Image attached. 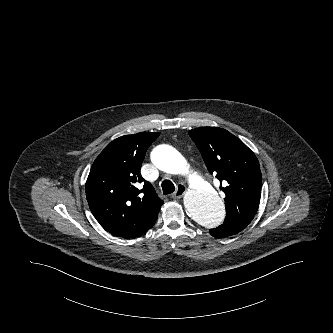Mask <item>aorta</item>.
I'll return each instance as SVG.
<instances>
[{
    "instance_id": "1",
    "label": "aorta",
    "mask_w": 333,
    "mask_h": 333,
    "mask_svg": "<svg viewBox=\"0 0 333 333\" xmlns=\"http://www.w3.org/2000/svg\"><path fill=\"white\" fill-rule=\"evenodd\" d=\"M151 161L161 171L171 174L186 173L185 159L172 146H157L151 154ZM190 183L183 200L187 214L203 228L219 226L225 217L222 199L200 176L193 174Z\"/></svg>"
}]
</instances>
